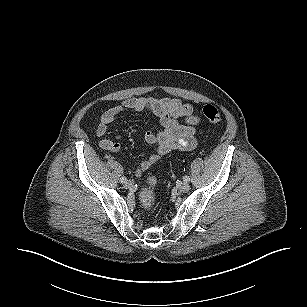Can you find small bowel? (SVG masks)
<instances>
[{"instance_id":"c3829d8e","label":"small bowel","mask_w":307,"mask_h":307,"mask_svg":"<svg viewBox=\"0 0 307 307\" xmlns=\"http://www.w3.org/2000/svg\"><path fill=\"white\" fill-rule=\"evenodd\" d=\"M125 111H149L160 122L158 131H147L145 141L154 145L155 149L135 169V174L148 170L156 164L161 157L175 150H192L196 147V136L200 133L199 117L194 113L193 107L177 98L163 97H136L124 100L120 105L105 111L96 128V135L103 137L109 125ZM178 119H183L185 124H180ZM119 138V137H117ZM100 147L108 152L119 153L121 146L117 141L104 138Z\"/></svg>"}]
</instances>
